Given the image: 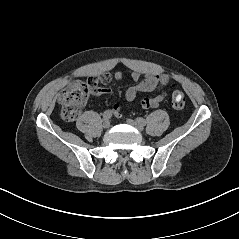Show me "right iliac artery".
<instances>
[{"mask_svg": "<svg viewBox=\"0 0 239 239\" xmlns=\"http://www.w3.org/2000/svg\"><path fill=\"white\" fill-rule=\"evenodd\" d=\"M112 117V111L111 110H107L104 112L103 114V119L104 120H109Z\"/></svg>", "mask_w": 239, "mask_h": 239, "instance_id": "82829eb1", "label": "right iliac artery"}]
</instances>
